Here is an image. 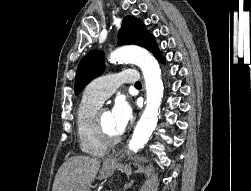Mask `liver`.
<instances>
[{"label":"liver","instance_id":"obj_1","mask_svg":"<svg viewBox=\"0 0 251 191\" xmlns=\"http://www.w3.org/2000/svg\"><path fill=\"white\" fill-rule=\"evenodd\" d=\"M100 159L72 155L59 167L52 191H81L91 187L100 167Z\"/></svg>","mask_w":251,"mask_h":191}]
</instances>
